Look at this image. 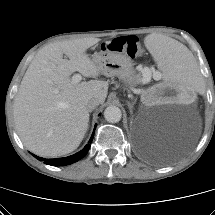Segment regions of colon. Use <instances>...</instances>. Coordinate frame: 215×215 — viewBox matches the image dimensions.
Listing matches in <instances>:
<instances>
[{
    "mask_svg": "<svg viewBox=\"0 0 215 215\" xmlns=\"http://www.w3.org/2000/svg\"><path fill=\"white\" fill-rule=\"evenodd\" d=\"M104 49L114 52L125 53L131 58L140 57L144 53L138 37L134 35L120 36L107 41Z\"/></svg>",
    "mask_w": 215,
    "mask_h": 215,
    "instance_id": "1",
    "label": "colon"
}]
</instances>
